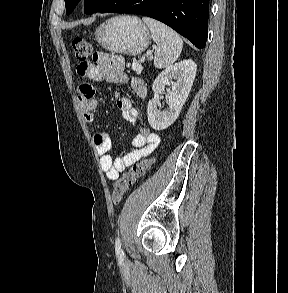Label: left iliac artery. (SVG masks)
I'll list each match as a JSON object with an SVG mask.
<instances>
[{
	"instance_id": "obj_1",
	"label": "left iliac artery",
	"mask_w": 288,
	"mask_h": 293,
	"mask_svg": "<svg viewBox=\"0 0 288 293\" xmlns=\"http://www.w3.org/2000/svg\"><path fill=\"white\" fill-rule=\"evenodd\" d=\"M115 252H116L118 259L120 261H122L124 259V253H123V249H122L121 239L119 236L116 238V241H115Z\"/></svg>"
}]
</instances>
